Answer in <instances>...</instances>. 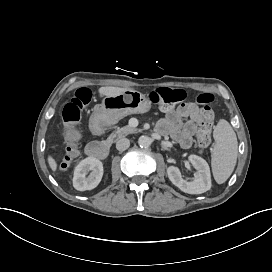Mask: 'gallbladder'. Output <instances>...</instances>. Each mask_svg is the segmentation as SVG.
I'll return each instance as SVG.
<instances>
[{
  "label": "gallbladder",
  "mask_w": 272,
  "mask_h": 272,
  "mask_svg": "<svg viewBox=\"0 0 272 272\" xmlns=\"http://www.w3.org/2000/svg\"><path fill=\"white\" fill-rule=\"evenodd\" d=\"M67 131H68V130H66V132H67ZM70 132H71V134H72V136H73L74 139H77V138L80 137V134H79V132H78L77 130L71 129Z\"/></svg>",
  "instance_id": "obj_1"
}]
</instances>
